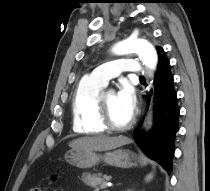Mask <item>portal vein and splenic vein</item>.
Masks as SVG:
<instances>
[{
	"instance_id": "18ae733b",
	"label": "portal vein and splenic vein",
	"mask_w": 210,
	"mask_h": 191,
	"mask_svg": "<svg viewBox=\"0 0 210 191\" xmlns=\"http://www.w3.org/2000/svg\"><path fill=\"white\" fill-rule=\"evenodd\" d=\"M107 186H108V187H110V186H111V184H107Z\"/></svg>"
}]
</instances>
